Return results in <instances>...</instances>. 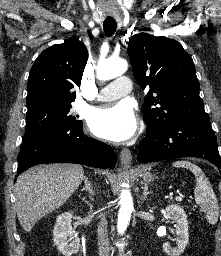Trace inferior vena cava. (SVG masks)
<instances>
[{
	"label": "inferior vena cava",
	"mask_w": 221,
	"mask_h": 256,
	"mask_svg": "<svg viewBox=\"0 0 221 256\" xmlns=\"http://www.w3.org/2000/svg\"><path fill=\"white\" fill-rule=\"evenodd\" d=\"M98 246L99 256H109V239L105 217L101 218L98 225Z\"/></svg>",
	"instance_id": "1"
}]
</instances>
